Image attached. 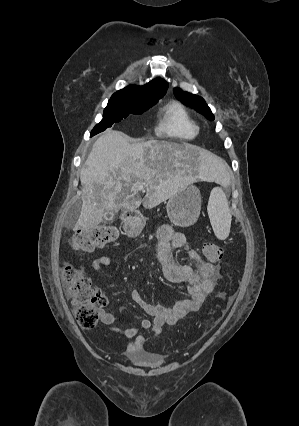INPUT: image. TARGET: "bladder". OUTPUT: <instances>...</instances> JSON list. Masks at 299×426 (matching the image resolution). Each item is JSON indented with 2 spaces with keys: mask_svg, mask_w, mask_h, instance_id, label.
<instances>
[{
  "mask_svg": "<svg viewBox=\"0 0 299 426\" xmlns=\"http://www.w3.org/2000/svg\"><path fill=\"white\" fill-rule=\"evenodd\" d=\"M159 361V359L158 360H156V361H145V362H149V363H157Z\"/></svg>",
  "mask_w": 299,
  "mask_h": 426,
  "instance_id": "1",
  "label": "bladder"
}]
</instances>
